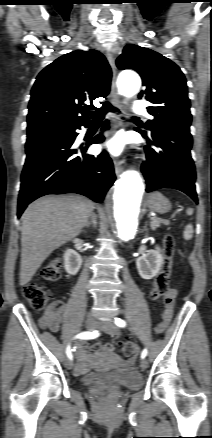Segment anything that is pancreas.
<instances>
[{
  "instance_id": "cf45deb5",
  "label": "pancreas",
  "mask_w": 212,
  "mask_h": 438,
  "mask_svg": "<svg viewBox=\"0 0 212 438\" xmlns=\"http://www.w3.org/2000/svg\"><path fill=\"white\" fill-rule=\"evenodd\" d=\"M159 225H160V221L158 220V218L151 219L150 226L152 230H155L157 227H159Z\"/></svg>"
}]
</instances>
